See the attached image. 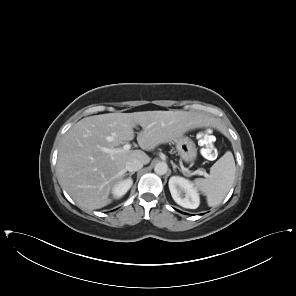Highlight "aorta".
Listing matches in <instances>:
<instances>
[{
    "label": "aorta",
    "mask_w": 296,
    "mask_h": 296,
    "mask_svg": "<svg viewBox=\"0 0 296 296\" xmlns=\"http://www.w3.org/2000/svg\"><path fill=\"white\" fill-rule=\"evenodd\" d=\"M168 170V166L165 162H159L155 165L154 171L158 175H164L166 174Z\"/></svg>",
    "instance_id": "aorta-1"
}]
</instances>
